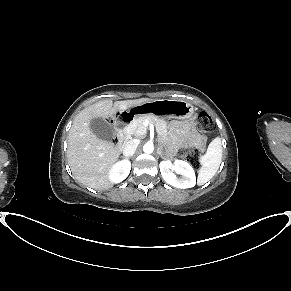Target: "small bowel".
<instances>
[{"label": "small bowel", "instance_id": "small-bowel-1", "mask_svg": "<svg viewBox=\"0 0 291 291\" xmlns=\"http://www.w3.org/2000/svg\"><path fill=\"white\" fill-rule=\"evenodd\" d=\"M178 128L182 130L183 133V141L184 142H194L199 141L191 122H184L177 125Z\"/></svg>", "mask_w": 291, "mask_h": 291}]
</instances>
